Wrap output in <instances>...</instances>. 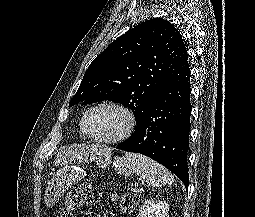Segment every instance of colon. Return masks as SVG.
<instances>
[{"label":"colon","mask_w":255,"mask_h":217,"mask_svg":"<svg viewBox=\"0 0 255 217\" xmlns=\"http://www.w3.org/2000/svg\"><path fill=\"white\" fill-rule=\"evenodd\" d=\"M92 199L91 186L83 185L75 188L66 194L64 206L59 209L56 217H74V213L79 211L85 204L91 202ZM112 199L118 203L124 213L132 214L136 210L138 198L134 193L115 194Z\"/></svg>","instance_id":"colon-1"}]
</instances>
